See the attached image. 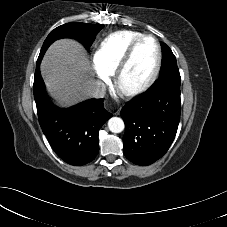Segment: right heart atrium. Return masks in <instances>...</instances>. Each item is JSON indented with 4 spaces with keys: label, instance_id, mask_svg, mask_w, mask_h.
I'll return each mask as SVG.
<instances>
[{
    "label": "right heart atrium",
    "instance_id": "1",
    "mask_svg": "<svg viewBox=\"0 0 227 227\" xmlns=\"http://www.w3.org/2000/svg\"><path fill=\"white\" fill-rule=\"evenodd\" d=\"M93 68L95 72V76L98 80V82L101 85H105L109 82L110 80V74L105 71L98 63L96 60L93 61Z\"/></svg>",
    "mask_w": 227,
    "mask_h": 227
}]
</instances>
